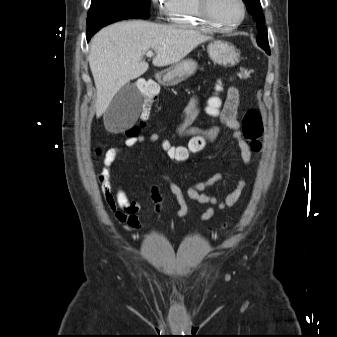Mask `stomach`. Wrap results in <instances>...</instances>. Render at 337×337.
Listing matches in <instances>:
<instances>
[{
	"label": "stomach",
	"mask_w": 337,
	"mask_h": 337,
	"mask_svg": "<svg viewBox=\"0 0 337 337\" xmlns=\"http://www.w3.org/2000/svg\"><path fill=\"white\" fill-rule=\"evenodd\" d=\"M210 58L221 65H235L239 62L240 54L231 44L224 41H213L208 45ZM197 69V63L193 59L182 60L171 67L161 71L157 79L160 83L175 85L192 76Z\"/></svg>",
	"instance_id": "obj_1"
}]
</instances>
